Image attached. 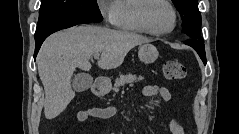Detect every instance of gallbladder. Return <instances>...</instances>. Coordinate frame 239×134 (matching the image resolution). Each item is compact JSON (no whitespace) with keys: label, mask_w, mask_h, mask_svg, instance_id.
Returning <instances> with one entry per match:
<instances>
[{"label":"gallbladder","mask_w":239,"mask_h":134,"mask_svg":"<svg viewBox=\"0 0 239 134\" xmlns=\"http://www.w3.org/2000/svg\"><path fill=\"white\" fill-rule=\"evenodd\" d=\"M93 82V79L88 74H77L74 79L72 86L75 91L82 92L87 90Z\"/></svg>","instance_id":"obj_1"}]
</instances>
